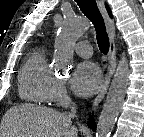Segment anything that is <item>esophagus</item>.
I'll list each match as a JSON object with an SVG mask.
<instances>
[{
  "label": "esophagus",
  "mask_w": 144,
  "mask_h": 137,
  "mask_svg": "<svg viewBox=\"0 0 144 137\" xmlns=\"http://www.w3.org/2000/svg\"><path fill=\"white\" fill-rule=\"evenodd\" d=\"M98 8L104 18L106 30L109 37V62L106 68V74L104 83L101 87L100 92L98 93L97 97L93 101V108L97 109L101 101L103 100L107 89L109 87L111 78L115 72L116 68V46H115V26L113 20L109 17L108 12L105 8L104 0H96Z\"/></svg>",
  "instance_id": "obj_1"
}]
</instances>
